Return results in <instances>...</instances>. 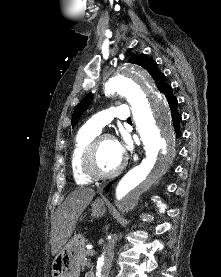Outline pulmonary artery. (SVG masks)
<instances>
[{"label":"pulmonary artery","mask_w":221,"mask_h":277,"mask_svg":"<svg viewBox=\"0 0 221 277\" xmlns=\"http://www.w3.org/2000/svg\"><path fill=\"white\" fill-rule=\"evenodd\" d=\"M129 118L130 110L127 105L113 106L94 115L86 122L85 127L99 133L113 119L128 120Z\"/></svg>","instance_id":"pulmonary-artery-1"}]
</instances>
